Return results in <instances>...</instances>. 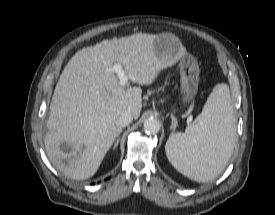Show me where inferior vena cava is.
Here are the masks:
<instances>
[{
    "instance_id": "obj_1",
    "label": "inferior vena cava",
    "mask_w": 275,
    "mask_h": 215,
    "mask_svg": "<svg viewBox=\"0 0 275 215\" xmlns=\"http://www.w3.org/2000/svg\"><path fill=\"white\" fill-rule=\"evenodd\" d=\"M132 119V114L129 111H125L118 116L115 123L116 126L123 128L129 125L132 122Z\"/></svg>"
}]
</instances>
